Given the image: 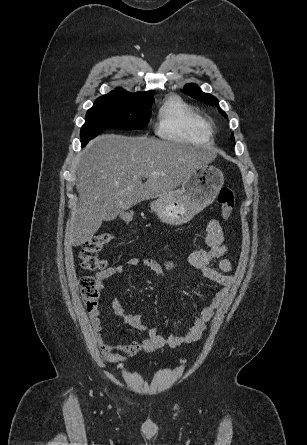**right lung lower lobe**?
Here are the masks:
<instances>
[{"instance_id": "right-lung-lower-lobe-1", "label": "right lung lower lobe", "mask_w": 307, "mask_h": 445, "mask_svg": "<svg viewBox=\"0 0 307 445\" xmlns=\"http://www.w3.org/2000/svg\"><path fill=\"white\" fill-rule=\"evenodd\" d=\"M86 144L82 143V147H84Z\"/></svg>"}]
</instances>
